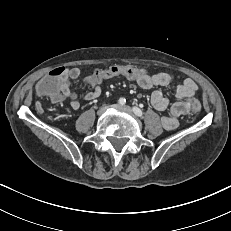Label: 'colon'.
Instances as JSON below:
<instances>
[{"mask_svg": "<svg viewBox=\"0 0 231 231\" xmlns=\"http://www.w3.org/2000/svg\"><path fill=\"white\" fill-rule=\"evenodd\" d=\"M64 68H55L50 74L42 77L37 83L35 90L39 96L49 97L53 101H57L61 97V91L57 84V77L63 72ZM141 68L130 65H113L105 69H96L88 78L89 85H95L103 81L104 79L113 78L116 76H124L127 81H133L140 76L158 74L154 71H146ZM204 103L198 99H191L187 103V111L190 114L200 113L204 110Z\"/></svg>", "mask_w": 231, "mask_h": 231, "instance_id": "obj_1", "label": "colon"}]
</instances>
